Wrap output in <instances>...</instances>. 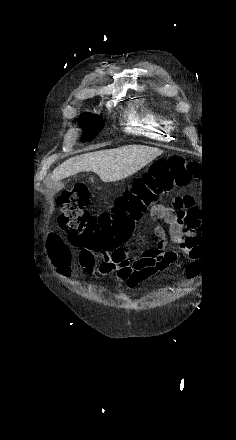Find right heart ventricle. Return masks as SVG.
<instances>
[{"label":"right heart ventricle","instance_id":"obj_1","mask_svg":"<svg viewBox=\"0 0 236 440\" xmlns=\"http://www.w3.org/2000/svg\"><path fill=\"white\" fill-rule=\"evenodd\" d=\"M127 131L155 141H168L172 131L169 115L144 99L130 105L126 113Z\"/></svg>","mask_w":236,"mask_h":440}]
</instances>
